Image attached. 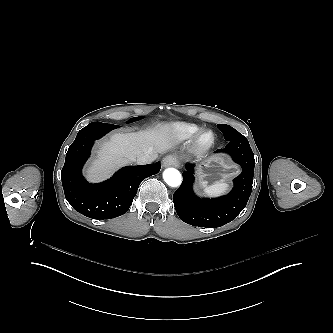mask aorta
Instances as JSON below:
<instances>
[{
    "label": "aorta",
    "instance_id": "obj_1",
    "mask_svg": "<svg viewBox=\"0 0 333 333\" xmlns=\"http://www.w3.org/2000/svg\"><path fill=\"white\" fill-rule=\"evenodd\" d=\"M163 179L170 187H178L182 183V175L176 168L165 169Z\"/></svg>",
    "mask_w": 333,
    "mask_h": 333
}]
</instances>
